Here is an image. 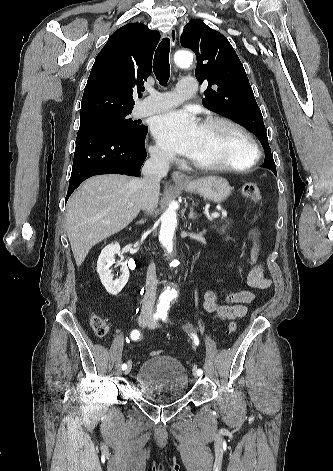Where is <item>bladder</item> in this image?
<instances>
[{
    "label": "bladder",
    "instance_id": "obj_1",
    "mask_svg": "<svg viewBox=\"0 0 333 471\" xmlns=\"http://www.w3.org/2000/svg\"><path fill=\"white\" fill-rule=\"evenodd\" d=\"M139 395L147 402L171 404L189 389V375L180 360L161 354L145 360L135 376Z\"/></svg>",
    "mask_w": 333,
    "mask_h": 471
}]
</instances>
